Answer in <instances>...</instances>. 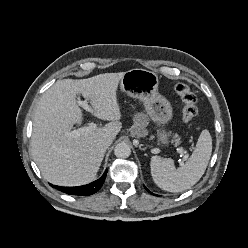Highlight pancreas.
Segmentation results:
<instances>
[{
	"instance_id": "pancreas-1",
	"label": "pancreas",
	"mask_w": 248,
	"mask_h": 248,
	"mask_svg": "<svg viewBox=\"0 0 248 248\" xmlns=\"http://www.w3.org/2000/svg\"><path fill=\"white\" fill-rule=\"evenodd\" d=\"M176 137H177V136H176ZM175 142H176V143H179V142H180V138L177 137V138L175 139Z\"/></svg>"
}]
</instances>
